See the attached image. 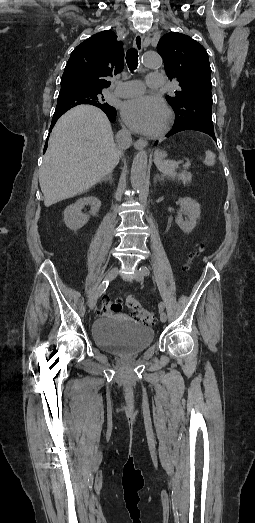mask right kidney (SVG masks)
<instances>
[{
    "mask_svg": "<svg viewBox=\"0 0 255 523\" xmlns=\"http://www.w3.org/2000/svg\"><path fill=\"white\" fill-rule=\"evenodd\" d=\"M91 206L90 214H96L100 210L101 202L95 196H88V198H80L75 204L67 206L64 212V222L69 230H79L84 224H87L89 216L81 214L84 206Z\"/></svg>",
    "mask_w": 255,
    "mask_h": 523,
    "instance_id": "ca27d5eb",
    "label": "right kidney"
}]
</instances>
